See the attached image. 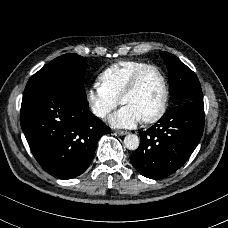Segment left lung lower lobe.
<instances>
[{
	"instance_id": "obj_1",
	"label": "left lung lower lobe",
	"mask_w": 228,
	"mask_h": 228,
	"mask_svg": "<svg viewBox=\"0 0 228 228\" xmlns=\"http://www.w3.org/2000/svg\"><path fill=\"white\" fill-rule=\"evenodd\" d=\"M203 129V103L176 106L157 124L140 132V145L130 156L131 163L147 178H165L187 161L198 145Z\"/></svg>"
}]
</instances>
